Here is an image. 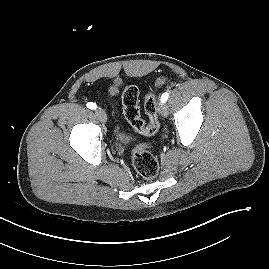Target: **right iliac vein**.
Returning a JSON list of instances; mask_svg holds the SVG:
<instances>
[{
	"label": "right iliac vein",
	"instance_id": "obj_1",
	"mask_svg": "<svg viewBox=\"0 0 269 269\" xmlns=\"http://www.w3.org/2000/svg\"><path fill=\"white\" fill-rule=\"evenodd\" d=\"M95 113L101 122L105 123L107 121V116L103 109L97 108Z\"/></svg>",
	"mask_w": 269,
	"mask_h": 269
}]
</instances>
